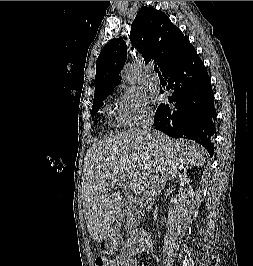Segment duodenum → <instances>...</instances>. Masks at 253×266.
I'll return each mask as SVG.
<instances>
[{"instance_id": "410a0bca", "label": "duodenum", "mask_w": 253, "mask_h": 266, "mask_svg": "<svg viewBox=\"0 0 253 266\" xmlns=\"http://www.w3.org/2000/svg\"><path fill=\"white\" fill-rule=\"evenodd\" d=\"M122 266H131L132 260L130 257L126 256L121 260Z\"/></svg>"}]
</instances>
